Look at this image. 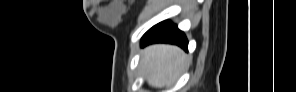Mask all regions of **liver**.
<instances>
[{"mask_svg": "<svg viewBox=\"0 0 296 92\" xmlns=\"http://www.w3.org/2000/svg\"><path fill=\"white\" fill-rule=\"evenodd\" d=\"M190 59L177 46L155 44L142 52L141 69L148 84L155 88L170 86L189 67Z\"/></svg>", "mask_w": 296, "mask_h": 92, "instance_id": "6515ba94", "label": "liver"}]
</instances>
